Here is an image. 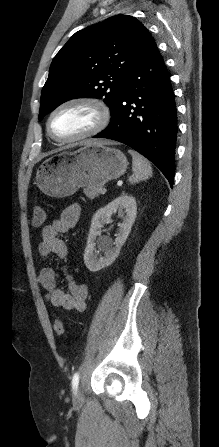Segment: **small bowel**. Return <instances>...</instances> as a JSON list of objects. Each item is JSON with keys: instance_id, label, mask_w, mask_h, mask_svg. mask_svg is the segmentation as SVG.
<instances>
[{"instance_id": "obj_1", "label": "small bowel", "mask_w": 219, "mask_h": 447, "mask_svg": "<svg viewBox=\"0 0 219 447\" xmlns=\"http://www.w3.org/2000/svg\"><path fill=\"white\" fill-rule=\"evenodd\" d=\"M80 205L71 204L65 207L59 217L41 230V242L38 252L41 260L54 254L59 258L67 256L68 247L59 238V234L65 233L77 224L80 217ZM65 273L68 291L57 287L56 274L53 268L42 264L38 273V283L45 292L46 300L54 307L67 311L83 312L86 309L89 287L86 283H78L73 277Z\"/></svg>"}]
</instances>
